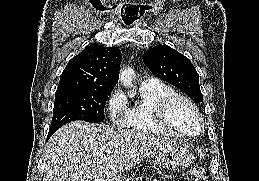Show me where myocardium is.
Masks as SVG:
<instances>
[{
  "label": "myocardium",
  "mask_w": 259,
  "mask_h": 181,
  "mask_svg": "<svg viewBox=\"0 0 259 181\" xmlns=\"http://www.w3.org/2000/svg\"><path fill=\"white\" fill-rule=\"evenodd\" d=\"M185 103L187 104L195 113L198 119V129L194 133L184 132L178 129L171 120V115L173 109L178 103ZM157 119L159 124L164 127L166 130L174 134L175 136L179 137H196L201 134L203 131L204 120L203 116L197 107V105L188 97L174 93L166 96L158 105L157 107Z\"/></svg>",
  "instance_id": "obj_1"
}]
</instances>
